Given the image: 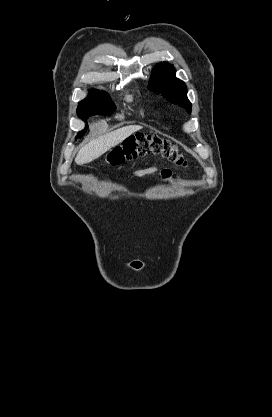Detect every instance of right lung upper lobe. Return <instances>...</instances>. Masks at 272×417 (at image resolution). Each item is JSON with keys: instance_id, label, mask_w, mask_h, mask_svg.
Here are the masks:
<instances>
[{"instance_id": "cb5924a9", "label": "right lung upper lobe", "mask_w": 272, "mask_h": 417, "mask_svg": "<svg viewBox=\"0 0 272 417\" xmlns=\"http://www.w3.org/2000/svg\"><path fill=\"white\" fill-rule=\"evenodd\" d=\"M94 94H105V93H103V92H99V91H96V90H91V92H90V94L89 95H94ZM105 95H107V94H105ZM85 100V99H84ZM84 100H82L81 102H83Z\"/></svg>"}]
</instances>
